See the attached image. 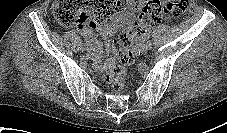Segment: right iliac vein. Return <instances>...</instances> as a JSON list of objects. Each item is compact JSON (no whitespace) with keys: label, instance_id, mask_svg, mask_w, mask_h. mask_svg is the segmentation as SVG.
<instances>
[{"label":"right iliac vein","instance_id":"63e3f726","mask_svg":"<svg viewBox=\"0 0 227 133\" xmlns=\"http://www.w3.org/2000/svg\"><path fill=\"white\" fill-rule=\"evenodd\" d=\"M82 50L83 51L91 50V47L88 44H84Z\"/></svg>","mask_w":227,"mask_h":133}]
</instances>
